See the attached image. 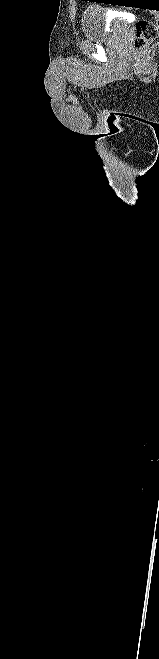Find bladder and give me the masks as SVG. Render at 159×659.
Instances as JSON below:
<instances>
[{"instance_id": "bladder-1", "label": "bladder", "mask_w": 159, "mask_h": 659, "mask_svg": "<svg viewBox=\"0 0 159 659\" xmlns=\"http://www.w3.org/2000/svg\"><path fill=\"white\" fill-rule=\"evenodd\" d=\"M106 10L94 6L86 7L81 16V30L84 38L94 41L108 39L111 34H117L120 30L116 23L111 25L110 31L107 29Z\"/></svg>"}]
</instances>
